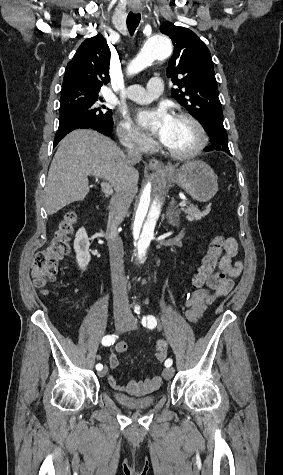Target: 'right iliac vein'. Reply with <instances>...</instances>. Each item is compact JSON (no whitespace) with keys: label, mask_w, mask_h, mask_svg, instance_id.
I'll return each mask as SVG.
<instances>
[{"label":"right iliac vein","mask_w":283,"mask_h":475,"mask_svg":"<svg viewBox=\"0 0 283 475\" xmlns=\"http://www.w3.org/2000/svg\"><path fill=\"white\" fill-rule=\"evenodd\" d=\"M127 315H124V314H118L115 316L114 318V324H115V327L117 328H124V326L126 325L127 323ZM107 373V368H104L103 370H101L98 374L100 377H104Z\"/></svg>","instance_id":"obj_1"}]
</instances>
